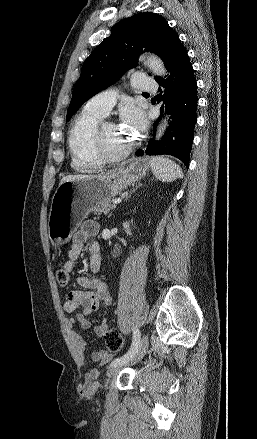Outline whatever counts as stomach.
I'll return each mask as SVG.
<instances>
[{
	"label": "stomach",
	"mask_w": 257,
	"mask_h": 439,
	"mask_svg": "<svg viewBox=\"0 0 257 439\" xmlns=\"http://www.w3.org/2000/svg\"><path fill=\"white\" fill-rule=\"evenodd\" d=\"M150 161L135 159L90 178L61 183L53 195L48 218V232L55 248L67 242L80 222L99 202L109 200L130 184L145 176Z\"/></svg>",
	"instance_id": "obj_1"
}]
</instances>
